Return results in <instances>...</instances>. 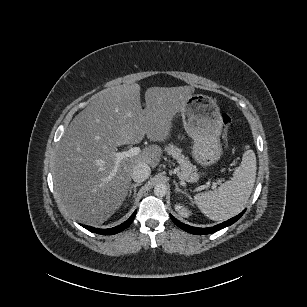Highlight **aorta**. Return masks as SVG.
<instances>
[{
	"label": "aorta",
	"mask_w": 307,
	"mask_h": 307,
	"mask_svg": "<svg viewBox=\"0 0 307 307\" xmlns=\"http://www.w3.org/2000/svg\"><path fill=\"white\" fill-rule=\"evenodd\" d=\"M154 193L157 196H164L167 193V186L164 183H158L154 187Z\"/></svg>",
	"instance_id": "1"
}]
</instances>
